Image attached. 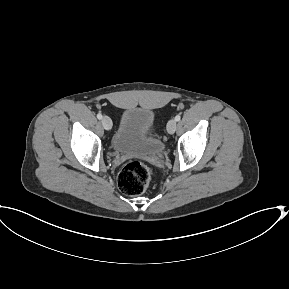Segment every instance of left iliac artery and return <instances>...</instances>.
<instances>
[{
	"label": "left iliac artery",
	"instance_id": "obj_1",
	"mask_svg": "<svg viewBox=\"0 0 289 289\" xmlns=\"http://www.w3.org/2000/svg\"><path fill=\"white\" fill-rule=\"evenodd\" d=\"M180 119H181V116H180V115H176V116H175V120H176V121H179Z\"/></svg>",
	"mask_w": 289,
	"mask_h": 289
}]
</instances>
